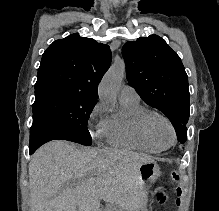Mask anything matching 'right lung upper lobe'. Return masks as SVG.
Returning a JSON list of instances; mask_svg holds the SVG:
<instances>
[{"mask_svg":"<svg viewBox=\"0 0 219 211\" xmlns=\"http://www.w3.org/2000/svg\"><path fill=\"white\" fill-rule=\"evenodd\" d=\"M108 45L71 34L54 41L44 52L35 94L61 90L97 99L98 84L111 64Z\"/></svg>","mask_w":219,"mask_h":211,"instance_id":"right-lung-upper-lobe-1","label":"right lung upper lobe"}]
</instances>
